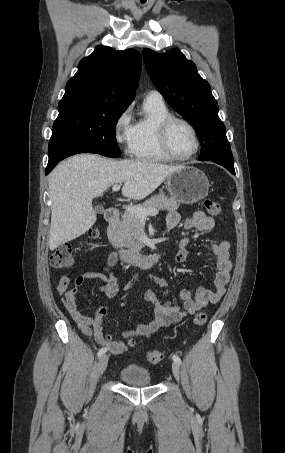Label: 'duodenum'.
<instances>
[{
	"label": "duodenum",
	"instance_id": "1",
	"mask_svg": "<svg viewBox=\"0 0 285 453\" xmlns=\"http://www.w3.org/2000/svg\"><path fill=\"white\" fill-rule=\"evenodd\" d=\"M119 211L116 208L110 207L105 212V220L109 225L108 232H107V242L118 255V257L126 262L131 263L141 268H150L157 264L162 255L160 253H153V254H142L136 251L125 249L119 242L116 232L115 226L119 221Z\"/></svg>",
	"mask_w": 285,
	"mask_h": 453
}]
</instances>
